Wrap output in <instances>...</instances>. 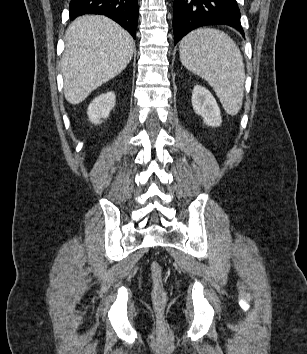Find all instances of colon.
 <instances>
[{"mask_svg":"<svg viewBox=\"0 0 307 354\" xmlns=\"http://www.w3.org/2000/svg\"><path fill=\"white\" fill-rule=\"evenodd\" d=\"M152 298L157 309L162 310L166 303V292L163 282V270L159 262L151 263Z\"/></svg>","mask_w":307,"mask_h":354,"instance_id":"colon-1","label":"colon"}]
</instances>
